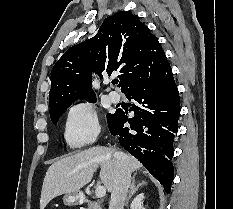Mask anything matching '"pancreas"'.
<instances>
[{"instance_id":"cf45deb5","label":"pancreas","mask_w":233,"mask_h":209,"mask_svg":"<svg viewBox=\"0 0 233 209\" xmlns=\"http://www.w3.org/2000/svg\"><path fill=\"white\" fill-rule=\"evenodd\" d=\"M88 203V208L87 209H102L101 205L99 202L96 201H89Z\"/></svg>"}]
</instances>
